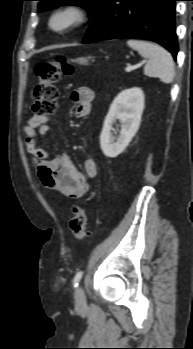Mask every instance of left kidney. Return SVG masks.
Returning <instances> with one entry per match:
<instances>
[{"mask_svg":"<svg viewBox=\"0 0 193 349\" xmlns=\"http://www.w3.org/2000/svg\"><path fill=\"white\" fill-rule=\"evenodd\" d=\"M143 109L144 93L141 88L123 90L115 97L100 135V146L105 156L115 158L125 150L139 128ZM117 119L122 126L119 136L115 138L111 130Z\"/></svg>","mask_w":193,"mask_h":349,"instance_id":"obj_1","label":"left kidney"}]
</instances>
